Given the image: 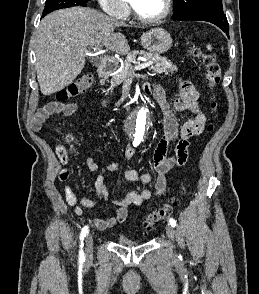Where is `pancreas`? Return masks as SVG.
Here are the masks:
<instances>
[{
    "label": "pancreas",
    "instance_id": "pancreas-1",
    "mask_svg": "<svg viewBox=\"0 0 259 294\" xmlns=\"http://www.w3.org/2000/svg\"><path fill=\"white\" fill-rule=\"evenodd\" d=\"M141 55L148 62H152L151 69L159 74H173L178 71L176 65H174L171 61L167 60L165 57H161L160 55L151 54L145 51H133L129 53L126 57V61L124 62L122 68L119 72L115 73L111 77V86L108 90H113V88L122 82H124L129 75L133 73L131 63H136V55Z\"/></svg>",
    "mask_w": 259,
    "mask_h": 294
}]
</instances>
